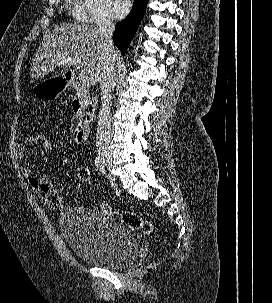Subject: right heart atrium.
I'll return each mask as SVG.
<instances>
[{
	"mask_svg": "<svg viewBox=\"0 0 272 303\" xmlns=\"http://www.w3.org/2000/svg\"><path fill=\"white\" fill-rule=\"evenodd\" d=\"M83 6L88 22L110 23L113 17L108 8L107 0H83Z\"/></svg>",
	"mask_w": 272,
	"mask_h": 303,
	"instance_id": "obj_1",
	"label": "right heart atrium"
}]
</instances>
